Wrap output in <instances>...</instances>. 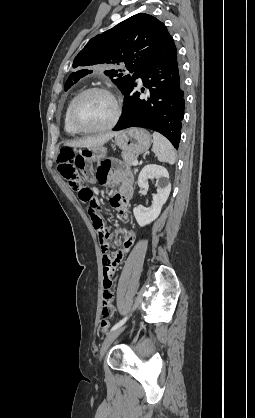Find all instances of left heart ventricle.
Instances as JSON below:
<instances>
[{
    "label": "left heart ventricle",
    "mask_w": 255,
    "mask_h": 418,
    "mask_svg": "<svg viewBox=\"0 0 255 418\" xmlns=\"http://www.w3.org/2000/svg\"><path fill=\"white\" fill-rule=\"evenodd\" d=\"M113 114L114 104L107 95L91 93L80 102L76 121L82 127H100L106 125Z\"/></svg>",
    "instance_id": "obj_1"
}]
</instances>
